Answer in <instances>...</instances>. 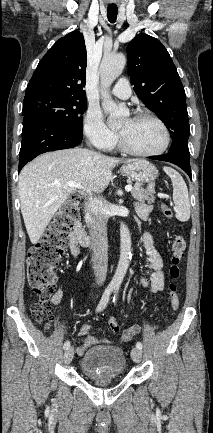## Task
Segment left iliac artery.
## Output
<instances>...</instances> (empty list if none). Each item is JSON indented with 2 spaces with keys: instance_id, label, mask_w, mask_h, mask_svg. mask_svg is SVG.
Here are the masks:
<instances>
[{
  "instance_id": "44dca946",
  "label": "left iliac artery",
  "mask_w": 213,
  "mask_h": 433,
  "mask_svg": "<svg viewBox=\"0 0 213 433\" xmlns=\"http://www.w3.org/2000/svg\"><path fill=\"white\" fill-rule=\"evenodd\" d=\"M117 292H118V288L115 289V295H114V299H113V301L116 300ZM136 347H137L138 349H142V348H143V345H142L141 342H137V343H136Z\"/></svg>"
}]
</instances>
